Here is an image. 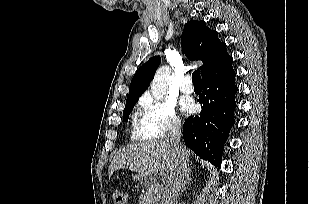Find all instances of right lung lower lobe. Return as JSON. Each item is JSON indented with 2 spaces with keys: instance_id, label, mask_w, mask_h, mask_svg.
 I'll use <instances>...</instances> for the list:
<instances>
[{
  "instance_id": "98d812e1",
  "label": "right lung lower lobe",
  "mask_w": 309,
  "mask_h": 204,
  "mask_svg": "<svg viewBox=\"0 0 309 204\" xmlns=\"http://www.w3.org/2000/svg\"><path fill=\"white\" fill-rule=\"evenodd\" d=\"M235 76L231 64L223 71L204 78L203 93L198 99L202 111L197 116L188 117L183 125L185 144L200 158L219 166L224 144L235 122V95L238 90Z\"/></svg>"
}]
</instances>
